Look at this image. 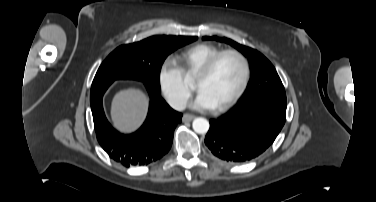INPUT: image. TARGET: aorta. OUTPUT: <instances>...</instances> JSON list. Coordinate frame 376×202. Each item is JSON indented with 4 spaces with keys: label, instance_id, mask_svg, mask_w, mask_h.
<instances>
[{
    "label": "aorta",
    "instance_id": "obj_1",
    "mask_svg": "<svg viewBox=\"0 0 376 202\" xmlns=\"http://www.w3.org/2000/svg\"><path fill=\"white\" fill-rule=\"evenodd\" d=\"M193 129L196 133L205 134L209 130V122L205 118H195L192 123Z\"/></svg>",
    "mask_w": 376,
    "mask_h": 202
}]
</instances>
